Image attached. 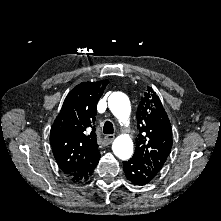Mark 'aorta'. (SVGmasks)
I'll use <instances>...</instances> for the list:
<instances>
[{
	"label": "aorta",
	"mask_w": 221,
	"mask_h": 221,
	"mask_svg": "<svg viewBox=\"0 0 221 221\" xmlns=\"http://www.w3.org/2000/svg\"><path fill=\"white\" fill-rule=\"evenodd\" d=\"M108 106L120 123L127 122L131 112L130 101L122 92H114L108 98ZM113 153L122 160L129 159L133 154V142L128 135L118 136L112 145Z\"/></svg>",
	"instance_id": "1"
}]
</instances>
